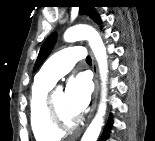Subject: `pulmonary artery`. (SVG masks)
Instances as JSON below:
<instances>
[{
    "label": "pulmonary artery",
    "mask_w": 155,
    "mask_h": 141,
    "mask_svg": "<svg viewBox=\"0 0 155 141\" xmlns=\"http://www.w3.org/2000/svg\"><path fill=\"white\" fill-rule=\"evenodd\" d=\"M85 57V51L79 46H68L54 54L41 71L37 79L55 83L59 78L67 74L75 63Z\"/></svg>",
    "instance_id": "pulmonary-artery-1"
}]
</instances>
